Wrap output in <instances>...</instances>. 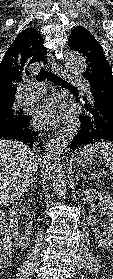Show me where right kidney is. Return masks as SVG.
Instances as JSON below:
<instances>
[{"label":"right kidney","mask_w":113,"mask_h":279,"mask_svg":"<svg viewBox=\"0 0 113 279\" xmlns=\"http://www.w3.org/2000/svg\"><path fill=\"white\" fill-rule=\"evenodd\" d=\"M25 208L21 201L16 202L9 209L8 220L10 221L9 230L14 237V245L17 249H26L32 234L31 227H27L24 232L19 231L18 218L23 214Z\"/></svg>","instance_id":"obj_1"}]
</instances>
